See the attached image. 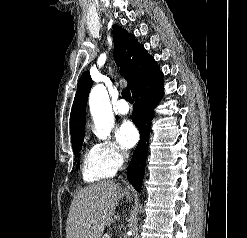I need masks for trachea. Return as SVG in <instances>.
Here are the masks:
<instances>
[{
	"mask_svg": "<svg viewBox=\"0 0 247 238\" xmlns=\"http://www.w3.org/2000/svg\"><path fill=\"white\" fill-rule=\"evenodd\" d=\"M122 97L126 100V101H128V102H130V103H133V99H132V96H131V93H130V91L129 90H123L122 91Z\"/></svg>",
	"mask_w": 247,
	"mask_h": 238,
	"instance_id": "trachea-1",
	"label": "trachea"
}]
</instances>
